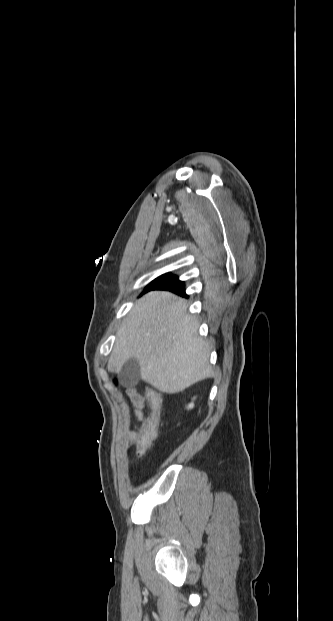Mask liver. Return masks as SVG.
Segmentation results:
<instances>
[{"label":"liver","instance_id":"6515ba94","mask_svg":"<svg viewBox=\"0 0 333 621\" xmlns=\"http://www.w3.org/2000/svg\"><path fill=\"white\" fill-rule=\"evenodd\" d=\"M197 329L184 299L171 292H149L119 328L108 367L119 372L135 358L143 381L164 393L181 392L212 374L211 348Z\"/></svg>","mask_w":333,"mask_h":621}]
</instances>
